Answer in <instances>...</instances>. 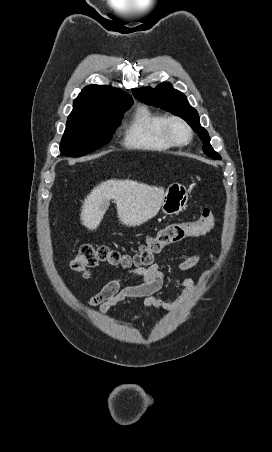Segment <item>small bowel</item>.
<instances>
[{
    "label": "small bowel",
    "mask_w": 272,
    "mask_h": 452,
    "mask_svg": "<svg viewBox=\"0 0 272 452\" xmlns=\"http://www.w3.org/2000/svg\"><path fill=\"white\" fill-rule=\"evenodd\" d=\"M201 255L193 253L187 258L177 263L178 269L182 271L189 270L196 266L200 261ZM211 260L214 262L215 257L211 255ZM134 274L141 277L142 282L132 285H122V280L125 275ZM207 272L205 277L209 276ZM168 277L162 271L159 264L153 263L148 267H136L121 274L114 280L106 283L102 289L90 299V306L96 307L102 314H107L111 307L118 303L129 299L143 298L145 308L150 310L152 308L174 311L179 309L193 292L196 282L192 278H182L177 281L181 288L180 296L173 302H165L156 297V293L167 283ZM134 316L129 322L137 320Z\"/></svg>",
    "instance_id": "1"
}]
</instances>
